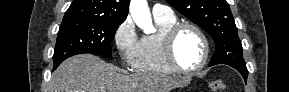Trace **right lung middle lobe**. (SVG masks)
<instances>
[{
  "instance_id": "right-lung-middle-lobe-1",
  "label": "right lung middle lobe",
  "mask_w": 289,
  "mask_h": 92,
  "mask_svg": "<svg viewBox=\"0 0 289 92\" xmlns=\"http://www.w3.org/2000/svg\"><path fill=\"white\" fill-rule=\"evenodd\" d=\"M123 22L66 20L58 31L53 61L56 69L65 59L82 53L111 58V42Z\"/></svg>"
}]
</instances>
